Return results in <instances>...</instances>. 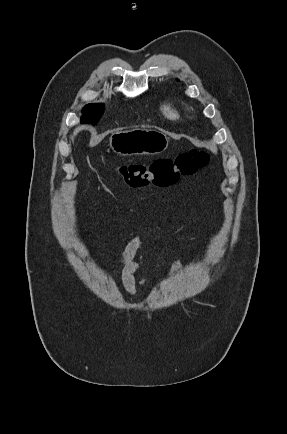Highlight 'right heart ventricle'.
I'll use <instances>...</instances> for the list:
<instances>
[{
  "label": "right heart ventricle",
  "mask_w": 287,
  "mask_h": 434,
  "mask_svg": "<svg viewBox=\"0 0 287 434\" xmlns=\"http://www.w3.org/2000/svg\"><path fill=\"white\" fill-rule=\"evenodd\" d=\"M161 111L164 116L169 119H177L179 117L177 108L170 102L163 103L161 105Z\"/></svg>",
  "instance_id": "1"
}]
</instances>
